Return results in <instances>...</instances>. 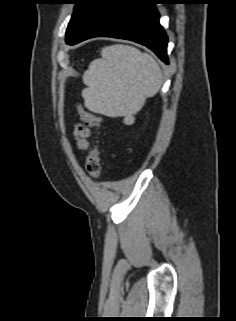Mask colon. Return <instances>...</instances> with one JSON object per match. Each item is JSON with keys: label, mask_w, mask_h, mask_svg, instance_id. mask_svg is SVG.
<instances>
[{"label": "colon", "mask_w": 236, "mask_h": 321, "mask_svg": "<svg viewBox=\"0 0 236 321\" xmlns=\"http://www.w3.org/2000/svg\"><path fill=\"white\" fill-rule=\"evenodd\" d=\"M79 116L80 118L89 126L95 127L97 129L100 128L102 123L101 116L94 114L92 112L79 109ZM85 168L87 173L92 178H98L101 172V165H100V146L99 140L96 139L94 145L87 157Z\"/></svg>", "instance_id": "5ec220e1"}]
</instances>
